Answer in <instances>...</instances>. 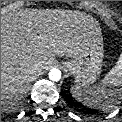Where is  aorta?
Here are the masks:
<instances>
[{"label":"aorta","mask_w":122,"mask_h":122,"mask_svg":"<svg viewBox=\"0 0 122 122\" xmlns=\"http://www.w3.org/2000/svg\"><path fill=\"white\" fill-rule=\"evenodd\" d=\"M49 79L53 82H57L61 79V72L58 69H52L49 72Z\"/></svg>","instance_id":"obj_1"}]
</instances>
